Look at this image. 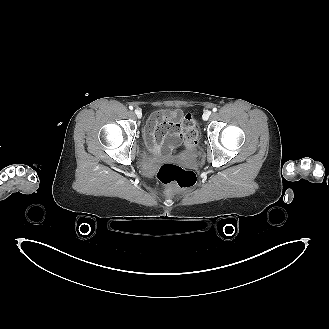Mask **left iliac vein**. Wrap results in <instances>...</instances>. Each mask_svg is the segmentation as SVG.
I'll return each instance as SVG.
<instances>
[{"label":"left iliac vein","instance_id":"4c4485c4","mask_svg":"<svg viewBox=\"0 0 329 329\" xmlns=\"http://www.w3.org/2000/svg\"><path fill=\"white\" fill-rule=\"evenodd\" d=\"M211 115V111H205L202 115L203 120H208Z\"/></svg>","mask_w":329,"mask_h":329}]
</instances>
